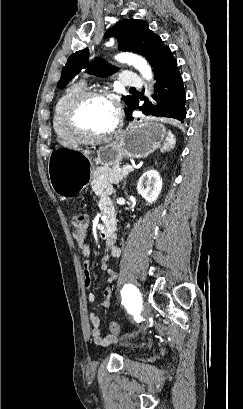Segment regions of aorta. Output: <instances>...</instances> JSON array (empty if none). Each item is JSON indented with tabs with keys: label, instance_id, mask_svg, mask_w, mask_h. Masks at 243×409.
<instances>
[{
	"label": "aorta",
	"instance_id": "762f6f07",
	"mask_svg": "<svg viewBox=\"0 0 243 409\" xmlns=\"http://www.w3.org/2000/svg\"><path fill=\"white\" fill-rule=\"evenodd\" d=\"M116 60L122 63L132 65L142 74V76L146 80L152 79V72L150 66L142 57L130 53H121L116 56Z\"/></svg>",
	"mask_w": 243,
	"mask_h": 409
}]
</instances>
